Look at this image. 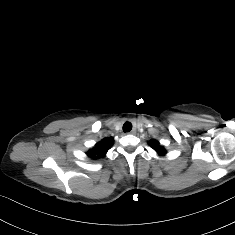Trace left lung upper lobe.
I'll list each match as a JSON object with an SVG mask.
<instances>
[{
    "instance_id": "1",
    "label": "left lung upper lobe",
    "mask_w": 235,
    "mask_h": 235,
    "mask_svg": "<svg viewBox=\"0 0 235 235\" xmlns=\"http://www.w3.org/2000/svg\"><path fill=\"white\" fill-rule=\"evenodd\" d=\"M149 145H150L151 147H153V148L157 151V153H158L159 155H165L166 150H165L162 146L159 145V142H158V141L152 139V140L149 142Z\"/></svg>"
}]
</instances>
